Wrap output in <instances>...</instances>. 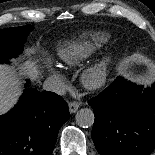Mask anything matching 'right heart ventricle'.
Here are the masks:
<instances>
[{"label":"right heart ventricle","mask_w":155,"mask_h":155,"mask_svg":"<svg viewBox=\"0 0 155 155\" xmlns=\"http://www.w3.org/2000/svg\"><path fill=\"white\" fill-rule=\"evenodd\" d=\"M109 39L110 35L105 32L84 33L78 39L62 44L57 50V56L63 65L73 67L90 58Z\"/></svg>","instance_id":"obj_1"}]
</instances>
